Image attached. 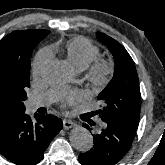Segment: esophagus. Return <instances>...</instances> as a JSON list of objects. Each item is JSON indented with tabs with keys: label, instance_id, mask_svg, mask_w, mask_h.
Segmentation results:
<instances>
[{
	"label": "esophagus",
	"instance_id": "obj_1",
	"mask_svg": "<svg viewBox=\"0 0 165 165\" xmlns=\"http://www.w3.org/2000/svg\"><path fill=\"white\" fill-rule=\"evenodd\" d=\"M75 126V123L73 122V121H71V120H63V128L65 129V130H68V129H70V128H72V127H74Z\"/></svg>",
	"mask_w": 165,
	"mask_h": 165
}]
</instances>
